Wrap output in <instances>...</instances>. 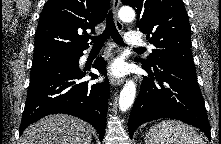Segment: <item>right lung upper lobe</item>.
Listing matches in <instances>:
<instances>
[{
	"mask_svg": "<svg viewBox=\"0 0 221 144\" xmlns=\"http://www.w3.org/2000/svg\"><path fill=\"white\" fill-rule=\"evenodd\" d=\"M110 0H49L35 35V53H80L89 47L87 32L106 17Z\"/></svg>",
	"mask_w": 221,
	"mask_h": 144,
	"instance_id": "cb5924a9",
	"label": "right lung upper lobe"
}]
</instances>
